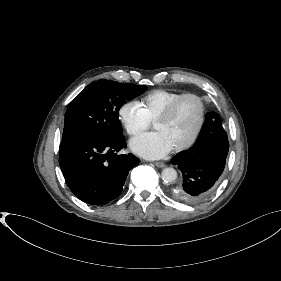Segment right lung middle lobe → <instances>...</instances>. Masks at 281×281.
<instances>
[{"label": "right lung middle lobe", "instance_id": "right-lung-middle-lobe-1", "mask_svg": "<svg viewBox=\"0 0 281 281\" xmlns=\"http://www.w3.org/2000/svg\"><path fill=\"white\" fill-rule=\"evenodd\" d=\"M147 86L99 80L89 84L68 105L60 149L82 140L123 136L119 109Z\"/></svg>", "mask_w": 281, "mask_h": 281}]
</instances>
